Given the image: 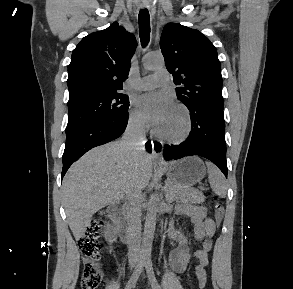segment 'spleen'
Instances as JSON below:
<instances>
[{"label": "spleen", "mask_w": 293, "mask_h": 289, "mask_svg": "<svg viewBox=\"0 0 293 289\" xmlns=\"http://www.w3.org/2000/svg\"><path fill=\"white\" fill-rule=\"evenodd\" d=\"M208 168V180L212 191L224 198L227 194V184L224 175L210 162H206Z\"/></svg>", "instance_id": "1"}]
</instances>
